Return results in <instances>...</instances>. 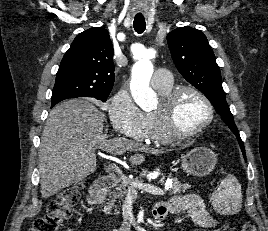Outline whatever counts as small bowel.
<instances>
[{
    "mask_svg": "<svg viewBox=\"0 0 268 231\" xmlns=\"http://www.w3.org/2000/svg\"><path fill=\"white\" fill-rule=\"evenodd\" d=\"M184 213L189 214L200 227L212 228L216 224L214 216L197 194L172 196L166 203L157 205L153 211L157 219H163L168 214L180 215Z\"/></svg>",
    "mask_w": 268,
    "mask_h": 231,
    "instance_id": "c3829d8e",
    "label": "small bowel"
}]
</instances>
